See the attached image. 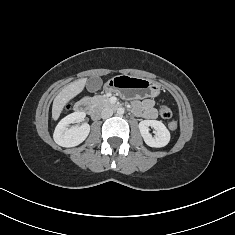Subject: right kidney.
<instances>
[{
  "mask_svg": "<svg viewBox=\"0 0 235 235\" xmlns=\"http://www.w3.org/2000/svg\"><path fill=\"white\" fill-rule=\"evenodd\" d=\"M84 117V112H74L63 118L55 128L54 141L62 147H74L81 144L89 135L90 125L83 123L71 128H68V126L80 122Z\"/></svg>",
  "mask_w": 235,
  "mask_h": 235,
  "instance_id": "obj_1",
  "label": "right kidney"
}]
</instances>
